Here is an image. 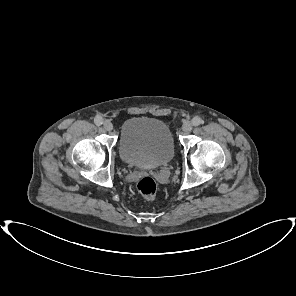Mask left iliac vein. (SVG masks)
<instances>
[{"mask_svg":"<svg viewBox=\"0 0 296 296\" xmlns=\"http://www.w3.org/2000/svg\"><path fill=\"white\" fill-rule=\"evenodd\" d=\"M193 128V125L191 122H186L183 126H182V131L184 133H189Z\"/></svg>","mask_w":296,"mask_h":296,"instance_id":"left-iliac-vein-1","label":"left iliac vein"}]
</instances>
